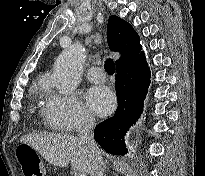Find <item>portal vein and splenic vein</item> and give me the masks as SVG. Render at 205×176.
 Returning a JSON list of instances; mask_svg holds the SVG:
<instances>
[{
	"instance_id": "portal-vein-and-splenic-vein-1",
	"label": "portal vein and splenic vein",
	"mask_w": 205,
	"mask_h": 176,
	"mask_svg": "<svg viewBox=\"0 0 205 176\" xmlns=\"http://www.w3.org/2000/svg\"><path fill=\"white\" fill-rule=\"evenodd\" d=\"M80 176H87L86 174H81Z\"/></svg>"
}]
</instances>
